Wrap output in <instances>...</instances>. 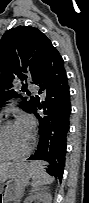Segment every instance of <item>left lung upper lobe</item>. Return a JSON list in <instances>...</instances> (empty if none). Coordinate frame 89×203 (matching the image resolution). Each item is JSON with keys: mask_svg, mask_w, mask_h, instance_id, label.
I'll return each instance as SVG.
<instances>
[{"mask_svg": "<svg viewBox=\"0 0 89 203\" xmlns=\"http://www.w3.org/2000/svg\"><path fill=\"white\" fill-rule=\"evenodd\" d=\"M52 43L37 28L18 26L5 32L0 40V100L6 101L18 94L11 90L13 82L34 79L41 70L45 51ZM22 91L26 92L23 86ZM21 107L30 112L34 97L22 98Z\"/></svg>", "mask_w": 89, "mask_h": 203, "instance_id": "left-lung-upper-lobe-1", "label": "left lung upper lobe"}]
</instances>
